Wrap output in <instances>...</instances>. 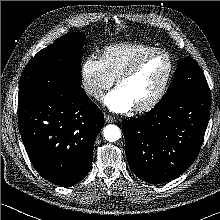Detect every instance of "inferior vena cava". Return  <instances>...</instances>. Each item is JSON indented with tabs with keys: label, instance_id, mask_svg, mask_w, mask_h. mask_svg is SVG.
Instances as JSON below:
<instances>
[{
	"label": "inferior vena cava",
	"instance_id": "602c4592",
	"mask_svg": "<svg viewBox=\"0 0 220 220\" xmlns=\"http://www.w3.org/2000/svg\"><path fill=\"white\" fill-rule=\"evenodd\" d=\"M88 93L96 99H101L104 96V92L98 88H91L88 90Z\"/></svg>",
	"mask_w": 220,
	"mask_h": 220
}]
</instances>
